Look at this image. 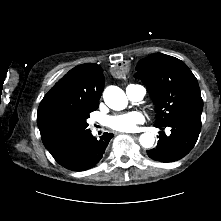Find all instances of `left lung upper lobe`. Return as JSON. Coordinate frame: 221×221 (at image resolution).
Returning <instances> with one entry per match:
<instances>
[{"label": "left lung upper lobe", "mask_w": 221, "mask_h": 221, "mask_svg": "<svg viewBox=\"0 0 221 221\" xmlns=\"http://www.w3.org/2000/svg\"><path fill=\"white\" fill-rule=\"evenodd\" d=\"M135 77L142 79L156 105V125L202 113L203 100L196 77L181 60L162 53L142 59Z\"/></svg>", "instance_id": "left-lung-upper-lobe-1"}]
</instances>
